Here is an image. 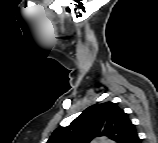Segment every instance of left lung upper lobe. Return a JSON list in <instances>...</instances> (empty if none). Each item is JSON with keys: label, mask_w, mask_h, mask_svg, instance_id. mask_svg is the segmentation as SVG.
Wrapping results in <instances>:
<instances>
[{"label": "left lung upper lobe", "mask_w": 158, "mask_h": 143, "mask_svg": "<svg viewBox=\"0 0 158 143\" xmlns=\"http://www.w3.org/2000/svg\"><path fill=\"white\" fill-rule=\"evenodd\" d=\"M97 136L116 143H132L138 135L123 109L105 102L88 107L69 126L57 128L48 143H89Z\"/></svg>", "instance_id": "5c2ea615"}]
</instances>
